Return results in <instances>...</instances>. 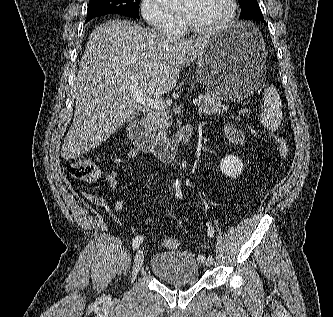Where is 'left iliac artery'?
<instances>
[{
	"instance_id": "obj_1",
	"label": "left iliac artery",
	"mask_w": 333,
	"mask_h": 317,
	"mask_svg": "<svg viewBox=\"0 0 333 317\" xmlns=\"http://www.w3.org/2000/svg\"><path fill=\"white\" fill-rule=\"evenodd\" d=\"M176 196L180 199L182 198V192L181 189L179 188V186L176 189ZM214 234V227L212 226V224L208 223V236L212 237ZM199 261L204 262L205 261V256L204 255H199L198 256Z\"/></svg>"
}]
</instances>
